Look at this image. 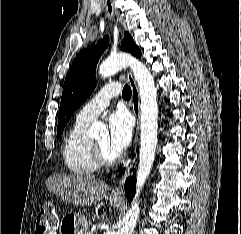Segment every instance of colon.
<instances>
[{
  "instance_id": "obj_1",
  "label": "colon",
  "mask_w": 241,
  "mask_h": 234,
  "mask_svg": "<svg viewBox=\"0 0 241 234\" xmlns=\"http://www.w3.org/2000/svg\"><path fill=\"white\" fill-rule=\"evenodd\" d=\"M59 227V219L52 205H44L36 220V231L38 234H56Z\"/></svg>"
}]
</instances>
